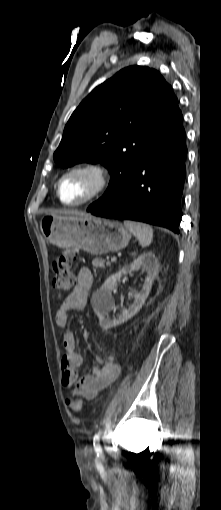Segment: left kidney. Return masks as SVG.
<instances>
[{
	"mask_svg": "<svg viewBox=\"0 0 221 510\" xmlns=\"http://www.w3.org/2000/svg\"><path fill=\"white\" fill-rule=\"evenodd\" d=\"M141 268L147 272L144 285L139 293H129L134 298L133 304L128 309H123L117 319H109L108 313L114 308V299L112 290L115 288L117 281L127 273ZM159 261L152 252L143 253L138 256L132 263L124 265L117 273L111 275L97 290L92 297L91 303L95 314L99 318V324L103 330H108L118 326L130 318H132L142 308L148 297L153 280L158 273Z\"/></svg>",
	"mask_w": 221,
	"mask_h": 510,
	"instance_id": "1",
	"label": "left kidney"
}]
</instances>
